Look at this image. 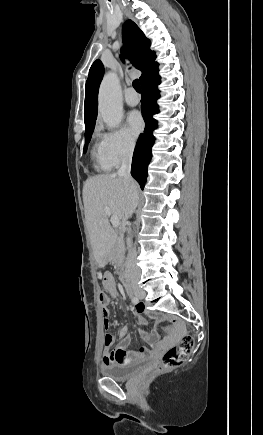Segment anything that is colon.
Wrapping results in <instances>:
<instances>
[{
	"instance_id": "colon-1",
	"label": "colon",
	"mask_w": 263,
	"mask_h": 435,
	"mask_svg": "<svg viewBox=\"0 0 263 435\" xmlns=\"http://www.w3.org/2000/svg\"><path fill=\"white\" fill-rule=\"evenodd\" d=\"M105 297V294L101 293L100 301L103 302ZM103 334L102 343L104 350H113L115 336L112 334V331L109 328H106L103 331ZM193 346V337L188 334L184 335L177 346L172 347L165 352L160 365L151 374L147 375L146 378H150L155 374L166 372L182 365L187 360Z\"/></svg>"
}]
</instances>
